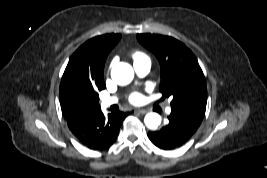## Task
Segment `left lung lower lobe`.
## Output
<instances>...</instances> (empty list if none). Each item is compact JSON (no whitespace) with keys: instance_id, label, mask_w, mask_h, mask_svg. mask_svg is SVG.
Segmentation results:
<instances>
[{"instance_id":"1","label":"left lung lower lobe","mask_w":267,"mask_h":178,"mask_svg":"<svg viewBox=\"0 0 267 178\" xmlns=\"http://www.w3.org/2000/svg\"><path fill=\"white\" fill-rule=\"evenodd\" d=\"M198 127L184 115L172 111L166 126L159 131L148 132V137L155 146L171 150L184 145Z\"/></svg>"}]
</instances>
